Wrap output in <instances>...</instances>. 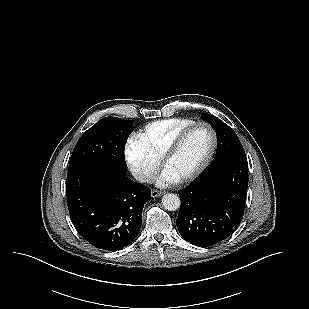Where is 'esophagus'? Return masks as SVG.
I'll return each instance as SVG.
<instances>
[{"label": "esophagus", "mask_w": 309, "mask_h": 309, "mask_svg": "<svg viewBox=\"0 0 309 309\" xmlns=\"http://www.w3.org/2000/svg\"><path fill=\"white\" fill-rule=\"evenodd\" d=\"M163 194V192L162 191H158V190H152V192H151V195H152V197L153 198H157V197H159V196H161Z\"/></svg>", "instance_id": "1"}]
</instances>
